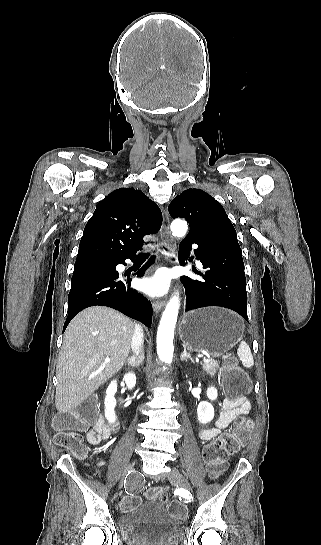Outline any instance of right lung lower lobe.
Returning a JSON list of instances; mask_svg holds the SVG:
<instances>
[{
    "label": "right lung lower lobe",
    "mask_w": 321,
    "mask_h": 545,
    "mask_svg": "<svg viewBox=\"0 0 321 545\" xmlns=\"http://www.w3.org/2000/svg\"><path fill=\"white\" fill-rule=\"evenodd\" d=\"M135 256L115 263H94L74 267L64 329L78 312L95 305L114 308L151 327V303L142 294L130 288L129 277L124 280L116 271L118 264L125 265L126 259L133 260ZM153 262L154 258H151L136 274L139 277L143 276Z\"/></svg>",
    "instance_id": "1"
}]
</instances>
